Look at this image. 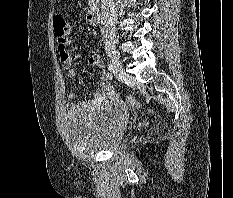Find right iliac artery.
Returning <instances> with one entry per match:
<instances>
[{"label": "right iliac artery", "instance_id": "82829eb1", "mask_svg": "<svg viewBox=\"0 0 233 198\" xmlns=\"http://www.w3.org/2000/svg\"><path fill=\"white\" fill-rule=\"evenodd\" d=\"M109 69H110V72H108L106 76H107L108 79H112L113 78V74L111 73L112 68L109 67Z\"/></svg>", "mask_w": 233, "mask_h": 198}]
</instances>
